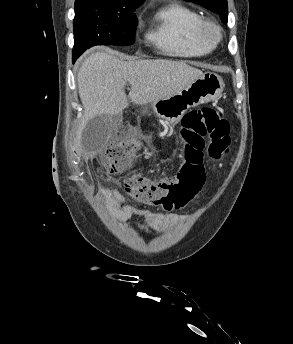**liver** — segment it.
Masks as SVG:
<instances>
[{
  "mask_svg": "<svg viewBox=\"0 0 293 344\" xmlns=\"http://www.w3.org/2000/svg\"><path fill=\"white\" fill-rule=\"evenodd\" d=\"M202 74L201 70L180 61H121L111 53L91 54L78 71L84 118L73 148L82 153V130L91 118L120 114L129 105L124 92L127 82L131 85L128 97L142 105L180 93Z\"/></svg>",
  "mask_w": 293,
  "mask_h": 344,
  "instance_id": "1",
  "label": "liver"
}]
</instances>
